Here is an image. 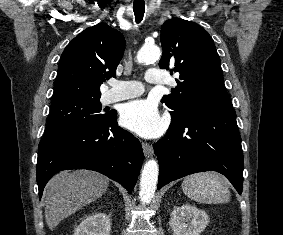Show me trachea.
Here are the masks:
<instances>
[{
	"mask_svg": "<svg viewBox=\"0 0 283 235\" xmlns=\"http://www.w3.org/2000/svg\"><path fill=\"white\" fill-rule=\"evenodd\" d=\"M133 11H134L136 23H140L143 19V15L145 12V3L144 2H134Z\"/></svg>",
	"mask_w": 283,
	"mask_h": 235,
	"instance_id": "obj_1",
	"label": "trachea"
}]
</instances>
